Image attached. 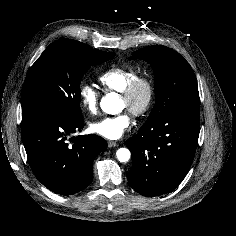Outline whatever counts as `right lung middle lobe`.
I'll return each instance as SVG.
<instances>
[{"instance_id":"dd1d6c3e","label":"right lung middle lobe","mask_w":236,"mask_h":236,"mask_svg":"<svg viewBox=\"0 0 236 236\" xmlns=\"http://www.w3.org/2000/svg\"><path fill=\"white\" fill-rule=\"evenodd\" d=\"M115 53L59 39L51 43L30 68L22 91V117L37 112L82 116L80 82L87 69Z\"/></svg>"}]
</instances>
